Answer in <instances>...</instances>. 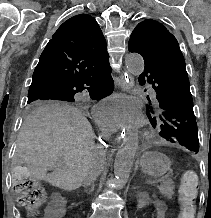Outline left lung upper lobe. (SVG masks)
<instances>
[{"mask_svg": "<svg viewBox=\"0 0 211 218\" xmlns=\"http://www.w3.org/2000/svg\"><path fill=\"white\" fill-rule=\"evenodd\" d=\"M128 49L145 63L139 77L152 85L156 97L146 104L150 123L166 140L198 152L197 123L193 111L185 60L176 38L159 22L144 20L131 34Z\"/></svg>", "mask_w": 211, "mask_h": 218, "instance_id": "5c2ea615", "label": "left lung upper lobe"}]
</instances>
